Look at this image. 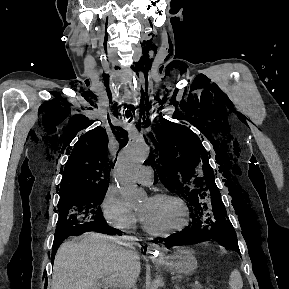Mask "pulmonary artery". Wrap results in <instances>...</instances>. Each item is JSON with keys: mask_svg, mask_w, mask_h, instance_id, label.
Returning <instances> with one entry per match:
<instances>
[{"mask_svg": "<svg viewBox=\"0 0 289 289\" xmlns=\"http://www.w3.org/2000/svg\"><path fill=\"white\" fill-rule=\"evenodd\" d=\"M153 168L150 165H144L136 175V181L139 184L149 186L153 183Z\"/></svg>", "mask_w": 289, "mask_h": 289, "instance_id": "pulmonary-artery-1", "label": "pulmonary artery"}]
</instances>
